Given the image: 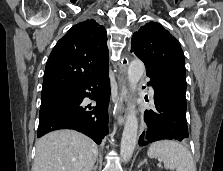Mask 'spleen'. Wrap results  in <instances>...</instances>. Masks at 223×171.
I'll return each instance as SVG.
<instances>
[{
    "label": "spleen",
    "instance_id": "1",
    "mask_svg": "<svg viewBox=\"0 0 223 171\" xmlns=\"http://www.w3.org/2000/svg\"><path fill=\"white\" fill-rule=\"evenodd\" d=\"M149 158L162 160L164 167L176 171H197L190 151L182 144L172 140H162L150 145Z\"/></svg>",
    "mask_w": 223,
    "mask_h": 171
}]
</instances>
